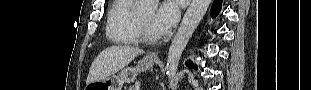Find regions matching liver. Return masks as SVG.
Masks as SVG:
<instances>
[{"label":"liver","mask_w":311,"mask_h":90,"mask_svg":"<svg viewBox=\"0 0 311 90\" xmlns=\"http://www.w3.org/2000/svg\"><path fill=\"white\" fill-rule=\"evenodd\" d=\"M144 51L133 46H111L103 50L93 61L86 84L104 80L127 66Z\"/></svg>","instance_id":"6515ba94"}]
</instances>
